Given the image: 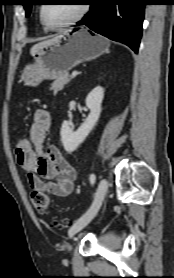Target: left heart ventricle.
<instances>
[{
    "instance_id": "b2bd125f",
    "label": "left heart ventricle",
    "mask_w": 174,
    "mask_h": 278,
    "mask_svg": "<svg viewBox=\"0 0 174 278\" xmlns=\"http://www.w3.org/2000/svg\"><path fill=\"white\" fill-rule=\"evenodd\" d=\"M81 4H51L46 5L44 14L47 21L60 25L75 17L81 9Z\"/></svg>"
}]
</instances>
